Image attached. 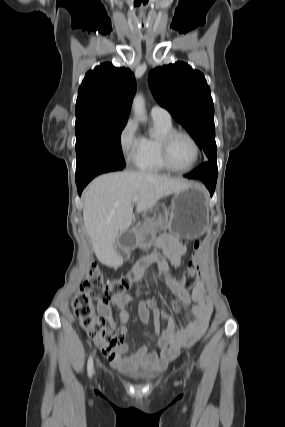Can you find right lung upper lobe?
Listing matches in <instances>:
<instances>
[{"label":"right lung upper lobe","instance_id":"right-lung-upper-lobe-1","mask_svg":"<svg viewBox=\"0 0 285 427\" xmlns=\"http://www.w3.org/2000/svg\"><path fill=\"white\" fill-rule=\"evenodd\" d=\"M135 91V77L129 69L103 63L87 72L79 87L76 119L127 120Z\"/></svg>","mask_w":285,"mask_h":427}]
</instances>
